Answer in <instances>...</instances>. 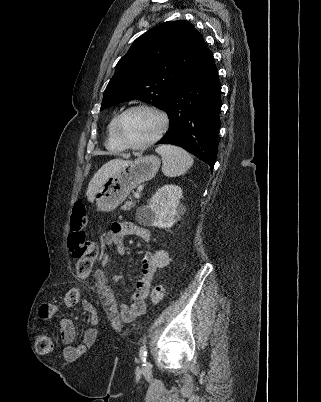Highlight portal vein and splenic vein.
I'll use <instances>...</instances> for the list:
<instances>
[{"label":"portal vein and splenic vein","mask_w":321,"mask_h":402,"mask_svg":"<svg viewBox=\"0 0 321 402\" xmlns=\"http://www.w3.org/2000/svg\"><path fill=\"white\" fill-rule=\"evenodd\" d=\"M134 197H135V198H139V197H140V192H135V193H134Z\"/></svg>","instance_id":"1"}]
</instances>
